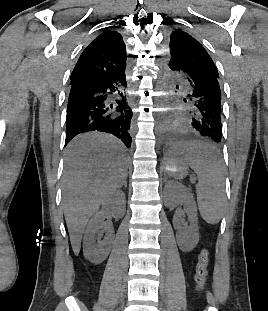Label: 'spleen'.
Masks as SVG:
<instances>
[{
	"mask_svg": "<svg viewBox=\"0 0 268 311\" xmlns=\"http://www.w3.org/2000/svg\"><path fill=\"white\" fill-rule=\"evenodd\" d=\"M190 147L187 159L189 166L197 174V204L202 218L209 224L220 221L225 203L223 161L216 144L207 140H186Z\"/></svg>",
	"mask_w": 268,
	"mask_h": 311,
	"instance_id": "1",
	"label": "spleen"
}]
</instances>
